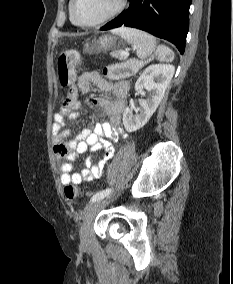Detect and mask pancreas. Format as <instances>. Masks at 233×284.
<instances>
[{
	"label": "pancreas",
	"instance_id": "pancreas-1",
	"mask_svg": "<svg viewBox=\"0 0 233 284\" xmlns=\"http://www.w3.org/2000/svg\"><path fill=\"white\" fill-rule=\"evenodd\" d=\"M121 52H122L121 50L114 51L110 55L112 57H115V58L123 59V56L121 55ZM125 64L131 69V72H136V71H138L139 68H141L143 66L142 62H138L135 59L134 60H129Z\"/></svg>",
	"mask_w": 233,
	"mask_h": 284
}]
</instances>
